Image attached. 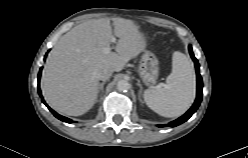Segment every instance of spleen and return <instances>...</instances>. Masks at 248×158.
Instances as JSON below:
<instances>
[{"mask_svg": "<svg viewBox=\"0 0 248 158\" xmlns=\"http://www.w3.org/2000/svg\"><path fill=\"white\" fill-rule=\"evenodd\" d=\"M196 79L193 66L181 52H174L172 72L162 88L147 89L144 100L147 106L164 117H178L185 113L194 101Z\"/></svg>", "mask_w": 248, "mask_h": 158, "instance_id": "1", "label": "spleen"}]
</instances>
